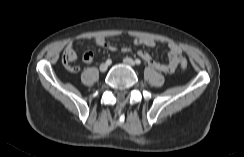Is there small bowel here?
Returning a JSON list of instances; mask_svg holds the SVG:
<instances>
[{
  "label": "small bowel",
  "instance_id": "small-bowel-1",
  "mask_svg": "<svg viewBox=\"0 0 244 157\" xmlns=\"http://www.w3.org/2000/svg\"><path fill=\"white\" fill-rule=\"evenodd\" d=\"M93 41L98 47H102V48L108 49L110 51L118 50V48L116 46L107 43L105 41V39L102 37H95L93 39ZM134 44L138 45V46L143 45V46H147V47H154L156 45V42L150 38L139 37V38L134 39ZM120 50L122 52H126V53L131 51V49L129 47H122ZM64 53H75L74 44L72 42L67 44V46L64 49ZM138 56L141 59H143L144 62L147 63L150 67H152L160 72H164V73H173L177 69V67L182 59L181 49L175 43L168 44L167 63H161V62L154 60L153 57L144 50H140L138 52ZM93 58H94V54L92 51H86L83 55V61L85 63H91L93 61Z\"/></svg>",
  "mask_w": 244,
  "mask_h": 157
}]
</instances>
